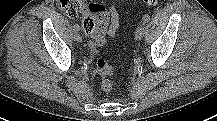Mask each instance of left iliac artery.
Wrapping results in <instances>:
<instances>
[{
  "label": "left iliac artery",
  "mask_w": 217,
  "mask_h": 121,
  "mask_svg": "<svg viewBox=\"0 0 217 121\" xmlns=\"http://www.w3.org/2000/svg\"><path fill=\"white\" fill-rule=\"evenodd\" d=\"M150 21V16L149 15H144L142 18L141 24L144 25Z\"/></svg>",
  "instance_id": "1"
}]
</instances>
